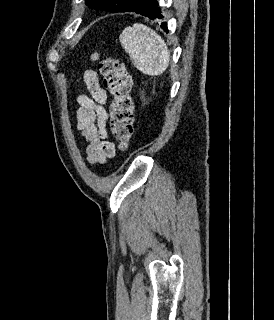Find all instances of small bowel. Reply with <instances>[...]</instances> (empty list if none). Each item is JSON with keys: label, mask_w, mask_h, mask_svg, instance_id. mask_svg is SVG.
I'll return each instance as SVG.
<instances>
[{"label": "small bowel", "mask_w": 274, "mask_h": 320, "mask_svg": "<svg viewBox=\"0 0 274 320\" xmlns=\"http://www.w3.org/2000/svg\"><path fill=\"white\" fill-rule=\"evenodd\" d=\"M83 80L89 95H80L77 98L79 107L75 128L80 138L87 142V162L90 165L103 164L116 153L115 145L110 141L106 130L108 114L104 104L107 93L101 87L94 70H85Z\"/></svg>", "instance_id": "small-bowel-1"}]
</instances>
